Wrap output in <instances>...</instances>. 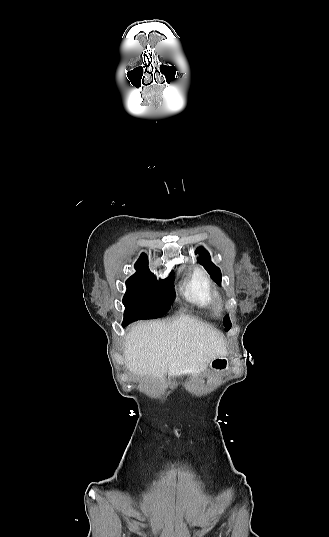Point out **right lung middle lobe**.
<instances>
[{
  "mask_svg": "<svg viewBox=\"0 0 329 537\" xmlns=\"http://www.w3.org/2000/svg\"><path fill=\"white\" fill-rule=\"evenodd\" d=\"M127 291L123 298L125 306L123 327L139 319H153L164 316L174 298L173 276L157 281L146 268L126 281Z\"/></svg>",
  "mask_w": 329,
  "mask_h": 537,
  "instance_id": "obj_1",
  "label": "right lung middle lobe"
}]
</instances>
